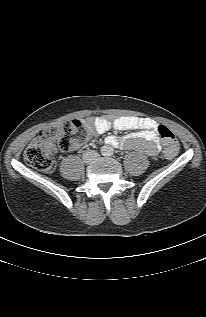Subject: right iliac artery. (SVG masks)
I'll list each match as a JSON object with an SVG mask.
<instances>
[{
    "instance_id": "right-iliac-artery-1",
    "label": "right iliac artery",
    "mask_w": 206,
    "mask_h": 317,
    "mask_svg": "<svg viewBox=\"0 0 206 317\" xmlns=\"http://www.w3.org/2000/svg\"><path fill=\"white\" fill-rule=\"evenodd\" d=\"M101 153L104 155L105 154L104 150H101Z\"/></svg>"
}]
</instances>
